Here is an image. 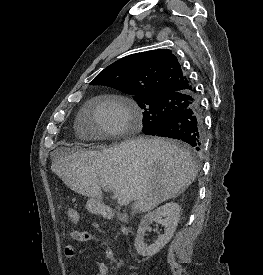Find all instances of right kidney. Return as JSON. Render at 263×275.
<instances>
[{"instance_id": "ca27d5eb", "label": "right kidney", "mask_w": 263, "mask_h": 275, "mask_svg": "<svg viewBox=\"0 0 263 275\" xmlns=\"http://www.w3.org/2000/svg\"><path fill=\"white\" fill-rule=\"evenodd\" d=\"M181 207L175 202L166 203L155 211L146 214L139 225L135 239V249L138 254L151 257L158 253L173 237L178 222L180 220ZM152 222H157L164 226V234L151 245L144 242L145 232Z\"/></svg>"}]
</instances>
